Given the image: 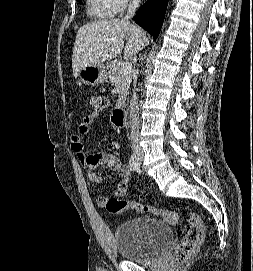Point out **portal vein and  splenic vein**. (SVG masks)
Returning a JSON list of instances; mask_svg holds the SVG:
<instances>
[{"instance_id": "obj_1", "label": "portal vein and splenic vein", "mask_w": 253, "mask_h": 271, "mask_svg": "<svg viewBox=\"0 0 253 271\" xmlns=\"http://www.w3.org/2000/svg\"><path fill=\"white\" fill-rule=\"evenodd\" d=\"M132 72V63L130 62H124L122 66L120 67V73L121 74H128Z\"/></svg>"}]
</instances>
